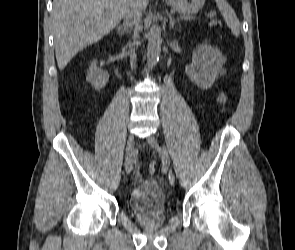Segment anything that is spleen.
Returning a JSON list of instances; mask_svg holds the SVG:
<instances>
[{"label": "spleen", "mask_w": 295, "mask_h": 250, "mask_svg": "<svg viewBox=\"0 0 295 250\" xmlns=\"http://www.w3.org/2000/svg\"><path fill=\"white\" fill-rule=\"evenodd\" d=\"M215 1L226 24L231 29L232 34L238 37L240 34V24L233 8L228 4L226 0H215Z\"/></svg>", "instance_id": "obj_1"}]
</instances>
